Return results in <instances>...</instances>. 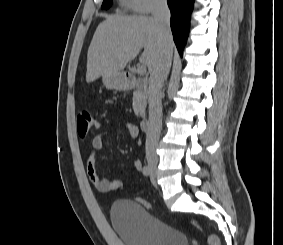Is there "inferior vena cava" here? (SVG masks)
Listing matches in <instances>:
<instances>
[{"label": "inferior vena cava", "mask_w": 283, "mask_h": 245, "mask_svg": "<svg viewBox=\"0 0 283 245\" xmlns=\"http://www.w3.org/2000/svg\"><path fill=\"white\" fill-rule=\"evenodd\" d=\"M152 15L159 26L163 52L158 64L150 73L149 79V121L146 134V157L147 159L157 160L156 148L162 126L161 89L170 71L172 59L170 50V43L172 42L170 11L166 0H153Z\"/></svg>", "instance_id": "obj_1"}]
</instances>
